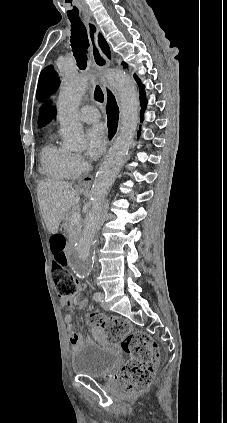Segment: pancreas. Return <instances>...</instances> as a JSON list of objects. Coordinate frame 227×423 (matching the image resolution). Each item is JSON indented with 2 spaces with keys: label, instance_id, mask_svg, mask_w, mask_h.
Instances as JSON below:
<instances>
[{
  "label": "pancreas",
  "instance_id": "cf45deb5",
  "mask_svg": "<svg viewBox=\"0 0 227 423\" xmlns=\"http://www.w3.org/2000/svg\"><path fill=\"white\" fill-rule=\"evenodd\" d=\"M73 213H75V210L67 211V221H66L65 229L70 239H73V241H77L81 233L82 225H80V223H74V221H72L71 215H73Z\"/></svg>",
  "mask_w": 227,
  "mask_h": 423
}]
</instances>
